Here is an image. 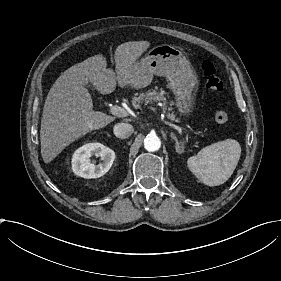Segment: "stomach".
<instances>
[{"mask_svg":"<svg viewBox=\"0 0 281 281\" xmlns=\"http://www.w3.org/2000/svg\"><path fill=\"white\" fill-rule=\"evenodd\" d=\"M165 77L182 113L191 112L198 87L196 72L183 52L174 46L158 45L137 60L131 71L129 86L140 89L148 86L153 76Z\"/></svg>","mask_w":281,"mask_h":281,"instance_id":"0dacf381","label":"stomach"}]
</instances>
